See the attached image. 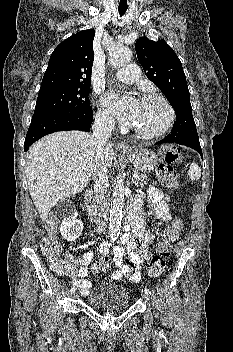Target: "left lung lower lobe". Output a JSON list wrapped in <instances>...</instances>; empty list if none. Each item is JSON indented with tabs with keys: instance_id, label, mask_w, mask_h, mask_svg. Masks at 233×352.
I'll return each instance as SVG.
<instances>
[{
	"instance_id": "1",
	"label": "left lung lower lobe",
	"mask_w": 233,
	"mask_h": 352,
	"mask_svg": "<svg viewBox=\"0 0 233 352\" xmlns=\"http://www.w3.org/2000/svg\"><path fill=\"white\" fill-rule=\"evenodd\" d=\"M162 143H176V144H180V145H185V146L190 147V148L196 150L197 152H199V154L201 155V157L203 159L202 149L200 146L198 135L177 137V136L169 134L161 141H158L156 144H162Z\"/></svg>"
}]
</instances>
